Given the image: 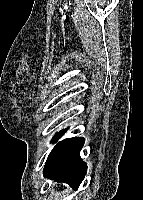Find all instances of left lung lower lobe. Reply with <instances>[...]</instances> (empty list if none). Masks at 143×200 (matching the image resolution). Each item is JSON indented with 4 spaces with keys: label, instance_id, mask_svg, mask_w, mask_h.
Here are the masks:
<instances>
[{
    "label": "left lung lower lobe",
    "instance_id": "1",
    "mask_svg": "<svg viewBox=\"0 0 143 200\" xmlns=\"http://www.w3.org/2000/svg\"><path fill=\"white\" fill-rule=\"evenodd\" d=\"M65 132L66 130H62L57 133L51 142H56ZM83 145L84 138L79 137L59 142L47 158L43 170L44 176L77 188L87 171L86 163L80 159L79 154Z\"/></svg>",
    "mask_w": 143,
    "mask_h": 200
}]
</instances>
